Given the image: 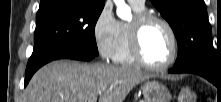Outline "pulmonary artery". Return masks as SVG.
Here are the masks:
<instances>
[{
    "instance_id": "e3ab8cb5",
    "label": "pulmonary artery",
    "mask_w": 221,
    "mask_h": 102,
    "mask_svg": "<svg viewBox=\"0 0 221 102\" xmlns=\"http://www.w3.org/2000/svg\"><path fill=\"white\" fill-rule=\"evenodd\" d=\"M131 5H134L139 8H144L145 0H128Z\"/></svg>"
}]
</instances>
